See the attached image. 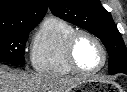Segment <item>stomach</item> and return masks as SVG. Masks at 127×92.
<instances>
[{
	"label": "stomach",
	"instance_id": "1",
	"mask_svg": "<svg viewBox=\"0 0 127 92\" xmlns=\"http://www.w3.org/2000/svg\"><path fill=\"white\" fill-rule=\"evenodd\" d=\"M97 87V81L94 78L85 79L83 80L77 87V90H80L82 92H93Z\"/></svg>",
	"mask_w": 127,
	"mask_h": 92
}]
</instances>
